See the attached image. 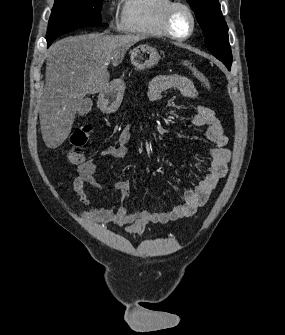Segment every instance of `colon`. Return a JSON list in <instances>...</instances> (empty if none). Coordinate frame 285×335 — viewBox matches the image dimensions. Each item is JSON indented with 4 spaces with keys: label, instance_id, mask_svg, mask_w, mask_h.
Wrapping results in <instances>:
<instances>
[{
    "label": "colon",
    "instance_id": "5ec220e1",
    "mask_svg": "<svg viewBox=\"0 0 285 335\" xmlns=\"http://www.w3.org/2000/svg\"><path fill=\"white\" fill-rule=\"evenodd\" d=\"M184 66L193 74V76L199 80L202 85L207 89L211 90V83L207 76L192 62H184ZM91 133V127L89 125H83L75 129L70 137L71 149L67 153V159L71 164L82 165L86 162L84 154V146L89 140Z\"/></svg>",
    "mask_w": 285,
    "mask_h": 335
}]
</instances>
